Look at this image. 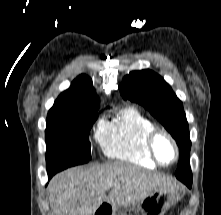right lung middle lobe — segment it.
<instances>
[{
    "instance_id": "obj_1",
    "label": "right lung middle lobe",
    "mask_w": 221,
    "mask_h": 215,
    "mask_svg": "<svg viewBox=\"0 0 221 215\" xmlns=\"http://www.w3.org/2000/svg\"><path fill=\"white\" fill-rule=\"evenodd\" d=\"M99 105L53 106L47 117L46 164L48 174L87 163L91 159L90 129Z\"/></svg>"
}]
</instances>
